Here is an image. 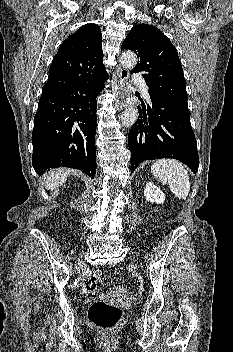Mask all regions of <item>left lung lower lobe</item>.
<instances>
[{"instance_id":"1","label":"left lung lower lobe","mask_w":233,"mask_h":352,"mask_svg":"<svg viewBox=\"0 0 233 352\" xmlns=\"http://www.w3.org/2000/svg\"><path fill=\"white\" fill-rule=\"evenodd\" d=\"M151 106L139 112L128 134L131 171L145 160L177 159L193 173L198 171L197 143L188 107L149 92Z\"/></svg>"}]
</instances>
